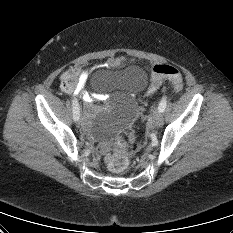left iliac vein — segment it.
<instances>
[{
	"label": "left iliac vein",
	"mask_w": 233,
	"mask_h": 233,
	"mask_svg": "<svg viewBox=\"0 0 233 233\" xmlns=\"http://www.w3.org/2000/svg\"><path fill=\"white\" fill-rule=\"evenodd\" d=\"M164 118L160 111H155L153 114V124L155 127H161L163 125Z\"/></svg>",
	"instance_id": "obj_1"
}]
</instances>
